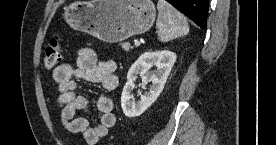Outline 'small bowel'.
I'll list each match as a JSON object with an SVG mask.
<instances>
[{
    "label": "small bowel",
    "instance_id": "small-bowel-1",
    "mask_svg": "<svg viewBox=\"0 0 276 145\" xmlns=\"http://www.w3.org/2000/svg\"><path fill=\"white\" fill-rule=\"evenodd\" d=\"M116 64L112 60L98 61L94 50L82 48L78 51L76 66L61 64L52 72V78L58 85L57 103L61 108L63 126L71 133L82 134L89 145H96L108 130L115 125L113 113L114 102L108 95L98 97L96 106L100 113L98 121L85 117H76V111H86L88 100L77 93L76 79H84L90 83H98L111 91L117 87V77L114 74Z\"/></svg>",
    "mask_w": 276,
    "mask_h": 145
}]
</instances>
